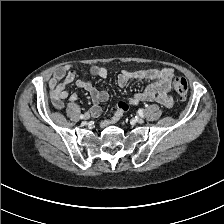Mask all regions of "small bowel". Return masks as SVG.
I'll use <instances>...</instances> for the list:
<instances>
[{
    "mask_svg": "<svg viewBox=\"0 0 224 224\" xmlns=\"http://www.w3.org/2000/svg\"><path fill=\"white\" fill-rule=\"evenodd\" d=\"M90 73L100 78H106L108 74L106 68L99 65H92ZM173 76L174 70L169 67L133 72L123 70L119 74L117 82L122 87L126 86L131 79L146 80L149 82V85L144 90L129 98V105L137 106L142 102L157 101L169 108L173 105V98L169 93ZM70 83H75L78 88L89 93L94 103L91 113L98 115L100 113L99 103L108 100V93L104 90H99L90 81L79 78L76 71L72 70L68 65L55 70L52 78L49 80L50 96L54 106L57 109H61L63 107L62 101L68 97L70 101L77 100L78 96L76 93L69 94L66 90V86ZM121 114V112L116 113L113 118L104 121L102 125L107 126L114 123L119 119Z\"/></svg>",
    "mask_w": 224,
    "mask_h": 224,
    "instance_id": "1",
    "label": "small bowel"
}]
</instances>
